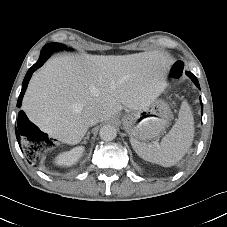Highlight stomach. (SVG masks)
<instances>
[{"label": "stomach", "mask_w": 227, "mask_h": 227, "mask_svg": "<svg viewBox=\"0 0 227 227\" xmlns=\"http://www.w3.org/2000/svg\"><path fill=\"white\" fill-rule=\"evenodd\" d=\"M171 117L169 105L164 100L158 99L143 110L126 114L122 123L131 138L143 142L164 133Z\"/></svg>", "instance_id": "1"}]
</instances>
